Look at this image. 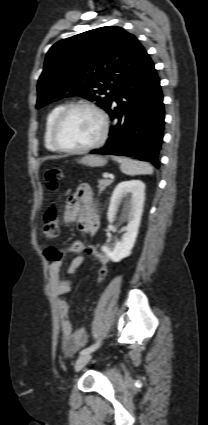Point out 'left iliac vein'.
I'll return each mask as SVG.
<instances>
[{"label": "left iliac vein", "mask_w": 208, "mask_h": 425, "mask_svg": "<svg viewBox=\"0 0 208 425\" xmlns=\"http://www.w3.org/2000/svg\"><path fill=\"white\" fill-rule=\"evenodd\" d=\"M91 359V353L82 354L75 362L76 371L81 370Z\"/></svg>", "instance_id": "left-iliac-vein-1"}]
</instances>
